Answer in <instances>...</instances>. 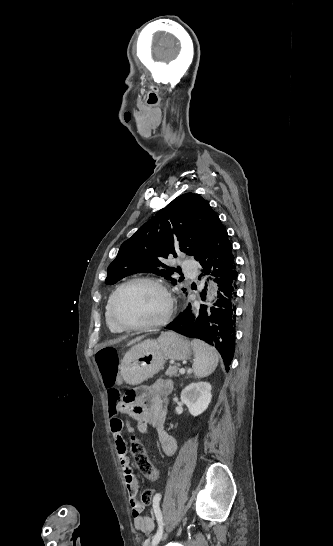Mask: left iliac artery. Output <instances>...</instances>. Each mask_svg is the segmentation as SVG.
Segmentation results:
<instances>
[{"mask_svg": "<svg viewBox=\"0 0 333 546\" xmlns=\"http://www.w3.org/2000/svg\"><path fill=\"white\" fill-rule=\"evenodd\" d=\"M157 520H158V530H157L156 534L154 535V537L152 539V543H151L152 546H154L155 544H157L160 541V539L162 537V534H163V525H164V523H163L162 516L161 515L158 516Z\"/></svg>", "mask_w": 333, "mask_h": 546, "instance_id": "44dca946", "label": "left iliac artery"}]
</instances>
